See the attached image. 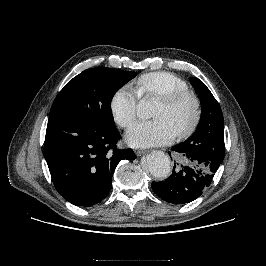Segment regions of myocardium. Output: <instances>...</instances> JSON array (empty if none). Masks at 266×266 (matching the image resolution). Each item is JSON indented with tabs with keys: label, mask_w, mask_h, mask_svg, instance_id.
I'll return each mask as SVG.
<instances>
[{
	"label": "myocardium",
	"mask_w": 266,
	"mask_h": 266,
	"mask_svg": "<svg viewBox=\"0 0 266 266\" xmlns=\"http://www.w3.org/2000/svg\"><path fill=\"white\" fill-rule=\"evenodd\" d=\"M159 101L169 107H174L184 101H190L193 105V116L188 126L176 133L179 138H186L192 135L197 129L201 116L202 104L199 97L192 91H179L164 95L159 98Z\"/></svg>",
	"instance_id": "f54148a6"
}]
</instances>
